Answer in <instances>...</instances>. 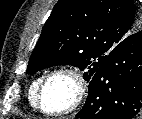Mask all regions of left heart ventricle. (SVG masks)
Here are the masks:
<instances>
[{"instance_id": "obj_1", "label": "left heart ventricle", "mask_w": 142, "mask_h": 119, "mask_svg": "<svg viewBox=\"0 0 142 119\" xmlns=\"http://www.w3.org/2000/svg\"><path fill=\"white\" fill-rule=\"evenodd\" d=\"M75 85L67 76H56L49 80L43 95L42 105L50 111H58L70 105L74 98Z\"/></svg>"}]
</instances>
